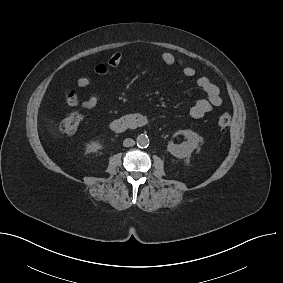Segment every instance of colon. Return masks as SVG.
Instances as JSON below:
<instances>
[{
	"mask_svg": "<svg viewBox=\"0 0 283 283\" xmlns=\"http://www.w3.org/2000/svg\"><path fill=\"white\" fill-rule=\"evenodd\" d=\"M67 101L70 105L75 104V99L72 95L68 97ZM81 122L82 116L77 112H72L60 121L59 128L64 133L72 134L78 129ZM218 124L223 129L228 128L231 124L230 114L227 112L222 113L218 118Z\"/></svg>",
	"mask_w": 283,
	"mask_h": 283,
	"instance_id": "obj_1",
	"label": "colon"
}]
</instances>
